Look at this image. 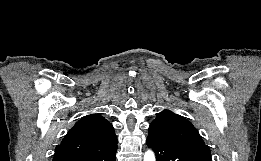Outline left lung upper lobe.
<instances>
[{
    "instance_id": "left-lung-upper-lobe-1",
    "label": "left lung upper lobe",
    "mask_w": 261,
    "mask_h": 161,
    "mask_svg": "<svg viewBox=\"0 0 261 161\" xmlns=\"http://www.w3.org/2000/svg\"><path fill=\"white\" fill-rule=\"evenodd\" d=\"M148 137L169 145L210 151L195 127L184 117L169 110L158 114L149 127Z\"/></svg>"
}]
</instances>
